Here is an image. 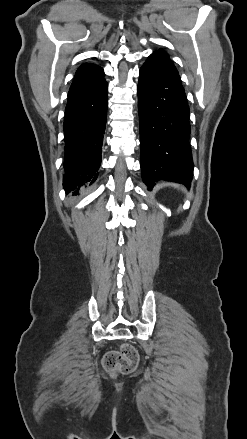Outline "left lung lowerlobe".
Masks as SVG:
<instances>
[{
  "instance_id": "obj_1",
  "label": "left lung lower lobe",
  "mask_w": 247,
  "mask_h": 439,
  "mask_svg": "<svg viewBox=\"0 0 247 439\" xmlns=\"http://www.w3.org/2000/svg\"><path fill=\"white\" fill-rule=\"evenodd\" d=\"M143 181L189 186L193 174L189 106L179 76L153 59L140 69L138 83Z\"/></svg>"
}]
</instances>
